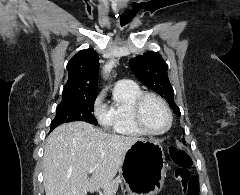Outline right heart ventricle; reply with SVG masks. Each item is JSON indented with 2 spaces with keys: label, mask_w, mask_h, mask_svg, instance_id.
Listing matches in <instances>:
<instances>
[{
  "label": "right heart ventricle",
  "mask_w": 240,
  "mask_h": 195,
  "mask_svg": "<svg viewBox=\"0 0 240 195\" xmlns=\"http://www.w3.org/2000/svg\"><path fill=\"white\" fill-rule=\"evenodd\" d=\"M141 88L134 82H118L114 88L113 99L109 106L110 117L103 122L107 131H114V136L136 137L145 133L137 126L133 106Z\"/></svg>",
  "instance_id": "1"
}]
</instances>
